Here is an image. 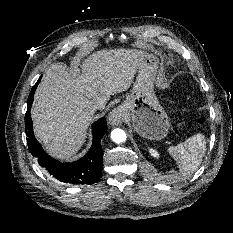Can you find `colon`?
I'll return each instance as SVG.
<instances>
[{
  "label": "colon",
  "instance_id": "1",
  "mask_svg": "<svg viewBox=\"0 0 233 233\" xmlns=\"http://www.w3.org/2000/svg\"><path fill=\"white\" fill-rule=\"evenodd\" d=\"M198 123L200 124V125H203L204 123H205V120H204V118H202V117H200V118H198Z\"/></svg>",
  "mask_w": 233,
  "mask_h": 233
}]
</instances>
